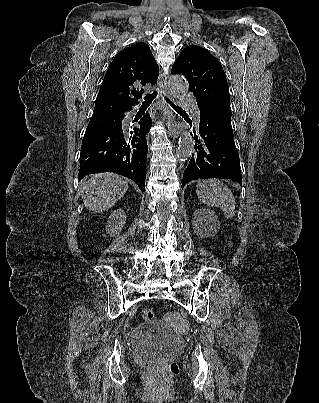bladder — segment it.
<instances>
[{
    "label": "bladder",
    "instance_id": "obj_1",
    "mask_svg": "<svg viewBox=\"0 0 319 403\" xmlns=\"http://www.w3.org/2000/svg\"><path fill=\"white\" fill-rule=\"evenodd\" d=\"M180 344L178 334L162 321L150 320L148 325L137 328L132 336V350L143 359L166 357Z\"/></svg>",
    "mask_w": 319,
    "mask_h": 403
}]
</instances>
